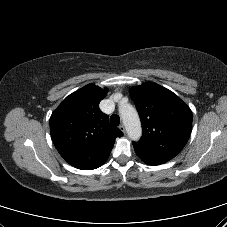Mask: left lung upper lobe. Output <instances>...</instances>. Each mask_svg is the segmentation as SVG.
<instances>
[{
    "label": "left lung upper lobe",
    "mask_w": 227,
    "mask_h": 227,
    "mask_svg": "<svg viewBox=\"0 0 227 227\" xmlns=\"http://www.w3.org/2000/svg\"><path fill=\"white\" fill-rule=\"evenodd\" d=\"M142 124L140 141L133 142L142 159L169 161L186 145L192 130L190 108L173 92L153 82L130 91Z\"/></svg>",
    "instance_id": "left-lung-upper-lobe-1"
}]
</instances>
